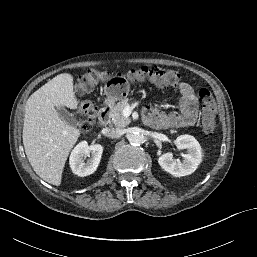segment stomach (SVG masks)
<instances>
[{"label":"stomach","instance_id":"1","mask_svg":"<svg viewBox=\"0 0 257 257\" xmlns=\"http://www.w3.org/2000/svg\"><path fill=\"white\" fill-rule=\"evenodd\" d=\"M104 93L106 95L105 102L107 104H114L118 100H122L127 97L129 93V85L127 82H109L104 87Z\"/></svg>","mask_w":257,"mask_h":257}]
</instances>
